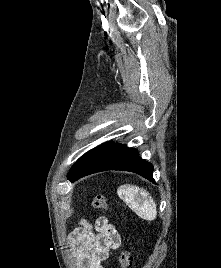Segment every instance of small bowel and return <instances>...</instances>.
Wrapping results in <instances>:
<instances>
[{
    "label": "small bowel",
    "instance_id": "small-bowel-1",
    "mask_svg": "<svg viewBox=\"0 0 221 268\" xmlns=\"http://www.w3.org/2000/svg\"><path fill=\"white\" fill-rule=\"evenodd\" d=\"M73 258L78 268H104L121 244V236L106 217L94 225L82 223L69 235Z\"/></svg>",
    "mask_w": 221,
    "mask_h": 268
}]
</instances>
